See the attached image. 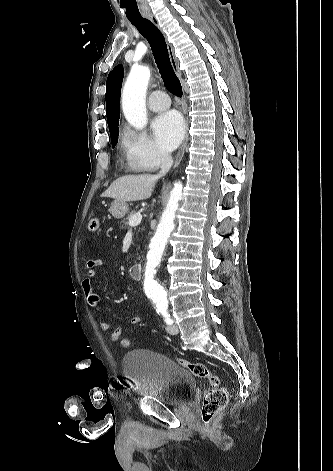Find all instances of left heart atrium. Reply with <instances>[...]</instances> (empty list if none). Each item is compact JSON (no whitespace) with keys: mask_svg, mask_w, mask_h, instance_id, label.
Segmentation results:
<instances>
[{"mask_svg":"<svg viewBox=\"0 0 333 471\" xmlns=\"http://www.w3.org/2000/svg\"><path fill=\"white\" fill-rule=\"evenodd\" d=\"M153 131L160 147L171 151L183 138L185 131L184 121L178 112L169 111L155 119Z\"/></svg>","mask_w":333,"mask_h":471,"instance_id":"left-heart-atrium-1","label":"left heart atrium"}]
</instances>
